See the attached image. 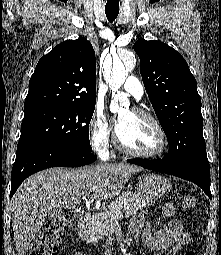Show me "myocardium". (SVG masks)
<instances>
[{
    "label": "myocardium",
    "mask_w": 221,
    "mask_h": 255,
    "mask_svg": "<svg viewBox=\"0 0 221 255\" xmlns=\"http://www.w3.org/2000/svg\"><path fill=\"white\" fill-rule=\"evenodd\" d=\"M131 111L134 114L150 121L154 125V127L156 128V130L159 134V138H160L159 147L155 151L149 152V153H144V152H139V151L133 150V149L129 148L122 141V139L118 135L117 131L115 132L116 147L121 152H123L127 155H130V156H133V157H137V158L154 159V158L161 157L167 149V136H166V133H165V130H164L163 126L161 125V123L159 122V120L155 116H153L152 114H150L149 112H147L145 110H142L140 108H133Z\"/></svg>",
    "instance_id": "myocardium-1"
}]
</instances>
